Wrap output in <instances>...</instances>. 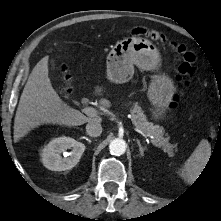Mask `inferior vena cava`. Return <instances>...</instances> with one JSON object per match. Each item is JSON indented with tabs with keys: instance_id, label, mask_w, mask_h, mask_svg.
<instances>
[{
	"instance_id": "inferior-vena-cava-1",
	"label": "inferior vena cava",
	"mask_w": 221,
	"mask_h": 221,
	"mask_svg": "<svg viewBox=\"0 0 221 221\" xmlns=\"http://www.w3.org/2000/svg\"><path fill=\"white\" fill-rule=\"evenodd\" d=\"M86 132L89 136H99L102 133V126L100 122H89L86 125Z\"/></svg>"
}]
</instances>
